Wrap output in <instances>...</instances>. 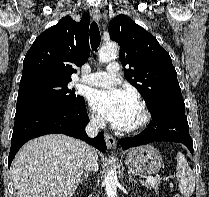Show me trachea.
I'll return each instance as SVG.
<instances>
[{"label": "trachea", "instance_id": "trachea-1", "mask_svg": "<svg viewBox=\"0 0 209 197\" xmlns=\"http://www.w3.org/2000/svg\"><path fill=\"white\" fill-rule=\"evenodd\" d=\"M100 31L96 22H92L90 25V43L92 50L96 51L100 45Z\"/></svg>", "mask_w": 209, "mask_h": 197}]
</instances>
